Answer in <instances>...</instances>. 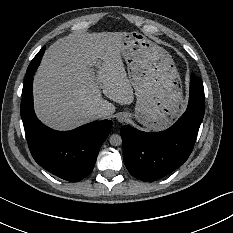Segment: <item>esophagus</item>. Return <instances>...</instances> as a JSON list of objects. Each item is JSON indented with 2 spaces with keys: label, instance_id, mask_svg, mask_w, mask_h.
I'll return each instance as SVG.
<instances>
[{
  "label": "esophagus",
  "instance_id": "1",
  "mask_svg": "<svg viewBox=\"0 0 233 233\" xmlns=\"http://www.w3.org/2000/svg\"><path fill=\"white\" fill-rule=\"evenodd\" d=\"M117 120L121 123L125 122L128 120V114L127 113H120L118 116H117Z\"/></svg>",
  "mask_w": 233,
  "mask_h": 233
}]
</instances>
